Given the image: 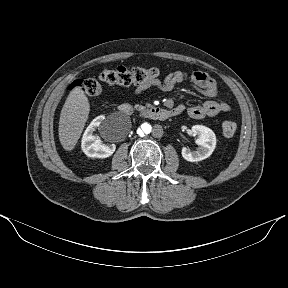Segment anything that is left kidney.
I'll return each mask as SVG.
<instances>
[{
    "label": "left kidney",
    "mask_w": 288,
    "mask_h": 288,
    "mask_svg": "<svg viewBox=\"0 0 288 288\" xmlns=\"http://www.w3.org/2000/svg\"><path fill=\"white\" fill-rule=\"evenodd\" d=\"M191 131L194 136H199L196 140L198 148L196 150H190L189 148L182 147V157L190 162H198L208 158L216 146L215 133L210 128L203 125H194L192 126Z\"/></svg>",
    "instance_id": "left-kidney-1"
}]
</instances>
